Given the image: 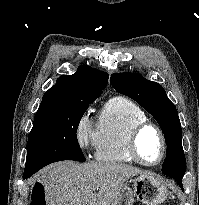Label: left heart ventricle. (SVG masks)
Masks as SVG:
<instances>
[{
	"mask_svg": "<svg viewBox=\"0 0 199 205\" xmlns=\"http://www.w3.org/2000/svg\"><path fill=\"white\" fill-rule=\"evenodd\" d=\"M139 153L145 161L156 162L161 155V141L153 129L145 130L138 140Z\"/></svg>",
	"mask_w": 199,
	"mask_h": 205,
	"instance_id": "left-heart-ventricle-1",
	"label": "left heart ventricle"
}]
</instances>
